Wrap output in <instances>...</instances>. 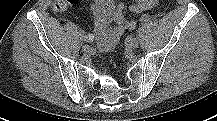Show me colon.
Instances as JSON below:
<instances>
[{"label": "colon", "instance_id": "1", "mask_svg": "<svg viewBox=\"0 0 217 121\" xmlns=\"http://www.w3.org/2000/svg\"><path fill=\"white\" fill-rule=\"evenodd\" d=\"M75 2L76 0H53L52 9L56 12H63Z\"/></svg>", "mask_w": 217, "mask_h": 121}]
</instances>
